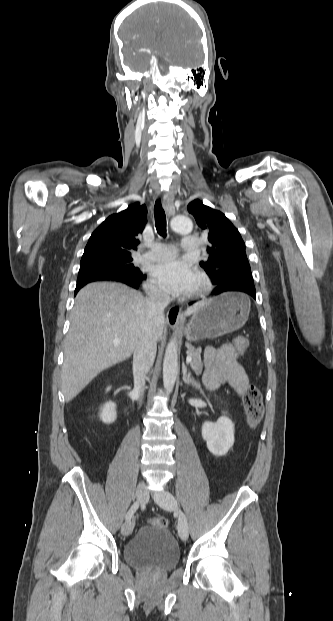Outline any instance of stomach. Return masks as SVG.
Segmentation results:
<instances>
[{"instance_id": "stomach-1", "label": "stomach", "mask_w": 333, "mask_h": 621, "mask_svg": "<svg viewBox=\"0 0 333 621\" xmlns=\"http://www.w3.org/2000/svg\"><path fill=\"white\" fill-rule=\"evenodd\" d=\"M250 303L241 293H224L210 300L196 311L186 336L190 342L218 338L241 328L248 319Z\"/></svg>"}]
</instances>
